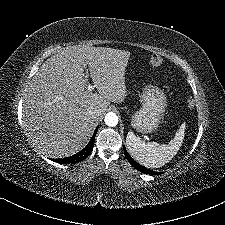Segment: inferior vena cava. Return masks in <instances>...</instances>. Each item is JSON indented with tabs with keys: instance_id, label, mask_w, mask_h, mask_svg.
Listing matches in <instances>:
<instances>
[{
	"instance_id": "1",
	"label": "inferior vena cava",
	"mask_w": 225,
	"mask_h": 225,
	"mask_svg": "<svg viewBox=\"0 0 225 225\" xmlns=\"http://www.w3.org/2000/svg\"><path fill=\"white\" fill-rule=\"evenodd\" d=\"M89 115L91 116L92 119H97L99 113L97 111H91L89 112Z\"/></svg>"
}]
</instances>
